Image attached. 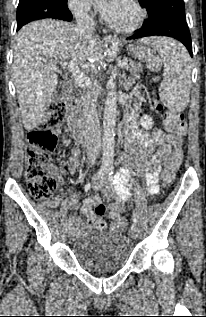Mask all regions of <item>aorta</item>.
I'll return each instance as SVG.
<instances>
[{"instance_id": "762f6f07", "label": "aorta", "mask_w": 206, "mask_h": 317, "mask_svg": "<svg viewBox=\"0 0 206 317\" xmlns=\"http://www.w3.org/2000/svg\"><path fill=\"white\" fill-rule=\"evenodd\" d=\"M107 86L109 92L105 101L103 116L102 165L111 167L114 162L117 93L114 82H109Z\"/></svg>"}]
</instances>
